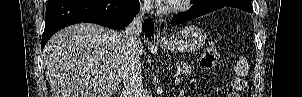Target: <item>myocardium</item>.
Listing matches in <instances>:
<instances>
[{"label":"myocardium","mask_w":302,"mask_h":97,"mask_svg":"<svg viewBox=\"0 0 302 97\" xmlns=\"http://www.w3.org/2000/svg\"><path fill=\"white\" fill-rule=\"evenodd\" d=\"M188 2H190V1H189V0L180 1V2H178V3L172 4V5L169 7V9H170L171 11H173V12H181V11H183V10L186 8Z\"/></svg>","instance_id":"f54148a6"}]
</instances>
